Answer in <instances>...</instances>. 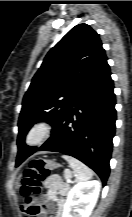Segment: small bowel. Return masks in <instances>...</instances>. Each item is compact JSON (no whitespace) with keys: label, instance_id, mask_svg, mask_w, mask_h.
Segmentation results:
<instances>
[{"label":"small bowel","instance_id":"small-bowel-1","mask_svg":"<svg viewBox=\"0 0 132 217\" xmlns=\"http://www.w3.org/2000/svg\"><path fill=\"white\" fill-rule=\"evenodd\" d=\"M47 193L39 199L27 198L26 205L22 208L25 217H28V210L33 206L40 207L41 211L37 217H46L48 212L54 213L51 217H60L63 211L64 198L69 193V185L59 175H52L45 180Z\"/></svg>","mask_w":132,"mask_h":217}]
</instances>
